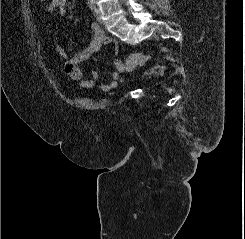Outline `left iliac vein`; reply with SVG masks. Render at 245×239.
I'll use <instances>...</instances> for the list:
<instances>
[{
	"instance_id": "left-iliac-vein-1",
	"label": "left iliac vein",
	"mask_w": 245,
	"mask_h": 239,
	"mask_svg": "<svg viewBox=\"0 0 245 239\" xmlns=\"http://www.w3.org/2000/svg\"><path fill=\"white\" fill-rule=\"evenodd\" d=\"M95 16L99 23H102L101 12L98 6H95Z\"/></svg>"
}]
</instances>
